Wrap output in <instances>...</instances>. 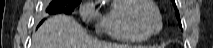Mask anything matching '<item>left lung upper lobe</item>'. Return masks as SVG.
Returning <instances> with one entry per match:
<instances>
[{
	"instance_id": "obj_1",
	"label": "left lung upper lobe",
	"mask_w": 213,
	"mask_h": 48,
	"mask_svg": "<svg viewBox=\"0 0 213 48\" xmlns=\"http://www.w3.org/2000/svg\"><path fill=\"white\" fill-rule=\"evenodd\" d=\"M171 1H172V3H173L174 8H175L176 18H177V20L180 22V27L182 28V26H181V21H180V15H179L178 9H177V7H176L175 1H174V0H171Z\"/></svg>"
}]
</instances>
